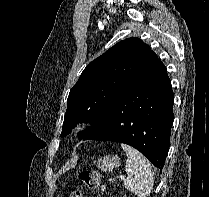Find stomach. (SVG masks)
<instances>
[{"label":"stomach","mask_w":209,"mask_h":197,"mask_svg":"<svg viewBox=\"0 0 209 197\" xmlns=\"http://www.w3.org/2000/svg\"><path fill=\"white\" fill-rule=\"evenodd\" d=\"M96 164L101 171H113L114 169L119 167L120 158L117 155H106L104 157L99 158Z\"/></svg>","instance_id":"stomach-1"}]
</instances>
